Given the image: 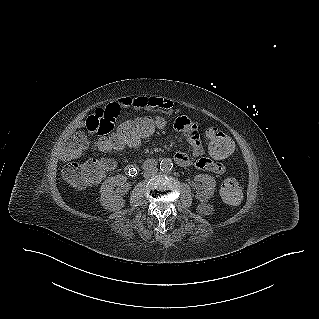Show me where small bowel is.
I'll list each match as a JSON object with an SVG mask.
<instances>
[{"label": "small bowel", "mask_w": 319, "mask_h": 319, "mask_svg": "<svg viewBox=\"0 0 319 319\" xmlns=\"http://www.w3.org/2000/svg\"><path fill=\"white\" fill-rule=\"evenodd\" d=\"M171 106L172 103L168 99L157 97L107 99L106 104L96 107L94 114L85 118L83 122L77 123L73 131L75 132L74 134H76L85 128L91 137L109 135L115 130L116 122L123 117L127 108L169 109ZM172 127L174 130H177L179 135H186L193 156V158H190L184 152L176 153L175 160L179 165L208 170L217 174H223L225 172L224 165L204 156L205 150L198 135L197 122L191 121L190 115H175ZM217 167H219V169H217Z\"/></svg>", "instance_id": "c3829d8e"}]
</instances>
